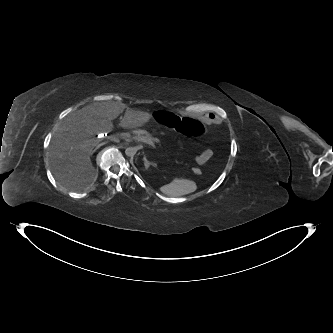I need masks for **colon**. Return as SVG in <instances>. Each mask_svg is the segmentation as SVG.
<instances>
[{
  "instance_id": "colon-1",
  "label": "colon",
  "mask_w": 333,
  "mask_h": 333,
  "mask_svg": "<svg viewBox=\"0 0 333 333\" xmlns=\"http://www.w3.org/2000/svg\"><path fill=\"white\" fill-rule=\"evenodd\" d=\"M153 120L157 125L178 131L187 137L203 138L209 133L208 128L202 122L192 118H181L174 111L159 109L154 113ZM195 173L200 174L201 171L196 169Z\"/></svg>"
}]
</instances>
